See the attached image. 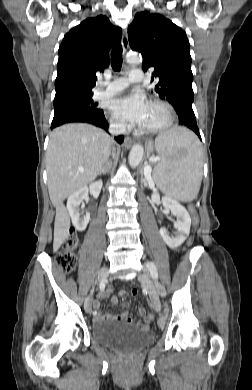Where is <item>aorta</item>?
<instances>
[{
	"mask_svg": "<svg viewBox=\"0 0 252 390\" xmlns=\"http://www.w3.org/2000/svg\"><path fill=\"white\" fill-rule=\"evenodd\" d=\"M142 61V58L138 54H130L127 56V62L132 64H138ZM144 149L141 145L136 144L132 147L130 153H129V164L132 168L137 167L143 158Z\"/></svg>",
	"mask_w": 252,
	"mask_h": 390,
	"instance_id": "obj_1",
	"label": "aorta"
}]
</instances>
